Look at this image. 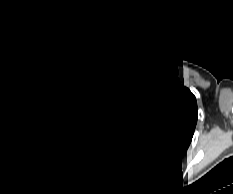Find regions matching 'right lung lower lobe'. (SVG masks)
<instances>
[{
    "instance_id": "obj_1",
    "label": "right lung lower lobe",
    "mask_w": 233,
    "mask_h": 194,
    "mask_svg": "<svg viewBox=\"0 0 233 194\" xmlns=\"http://www.w3.org/2000/svg\"><path fill=\"white\" fill-rule=\"evenodd\" d=\"M97 154L94 153V154H91L89 157L83 159L82 161L85 162V163H91L95 160Z\"/></svg>"
}]
</instances>
